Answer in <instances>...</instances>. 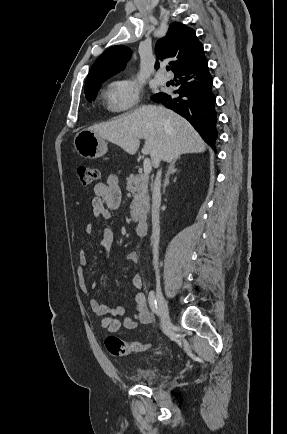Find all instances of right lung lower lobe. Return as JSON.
Here are the masks:
<instances>
[{
    "instance_id": "obj_1",
    "label": "right lung lower lobe",
    "mask_w": 287,
    "mask_h": 434,
    "mask_svg": "<svg viewBox=\"0 0 287 434\" xmlns=\"http://www.w3.org/2000/svg\"><path fill=\"white\" fill-rule=\"evenodd\" d=\"M179 86L171 97L166 93L152 96L154 102L165 105L186 118L202 138L213 148L218 133L217 115L214 108L215 95L212 92L213 78L208 70V61L201 52L188 66L175 73Z\"/></svg>"
}]
</instances>
